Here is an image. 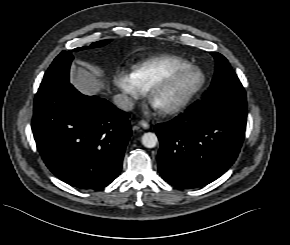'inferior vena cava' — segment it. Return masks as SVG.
Returning <instances> with one entry per match:
<instances>
[{
	"label": "inferior vena cava",
	"instance_id": "obj_1",
	"mask_svg": "<svg viewBox=\"0 0 290 245\" xmlns=\"http://www.w3.org/2000/svg\"><path fill=\"white\" fill-rule=\"evenodd\" d=\"M114 104L123 111H131L134 108V101L126 94H117L113 97Z\"/></svg>",
	"mask_w": 290,
	"mask_h": 245
}]
</instances>
